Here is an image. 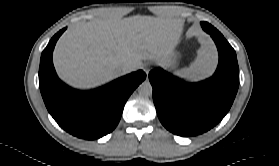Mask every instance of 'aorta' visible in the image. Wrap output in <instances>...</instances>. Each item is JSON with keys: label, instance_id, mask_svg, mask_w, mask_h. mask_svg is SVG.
Instances as JSON below:
<instances>
[{"label": "aorta", "instance_id": "aorta-1", "mask_svg": "<svg viewBox=\"0 0 279 166\" xmlns=\"http://www.w3.org/2000/svg\"><path fill=\"white\" fill-rule=\"evenodd\" d=\"M152 85L149 81L142 82L138 87V93L141 96L147 97L152 94Z\"/></svg>", "mask_w": 279, "mask_h": 166}]
</instances>
